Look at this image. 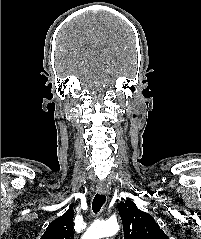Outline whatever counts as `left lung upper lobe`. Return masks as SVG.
I'll return each instance as SVG.
<instances>
[{"mask_svg": "<svg viewBox=\"0 0 201 239\" xmlns=\"http://www.w3.org/2000/svg\"><path fill=\"white\" fill-rule=\"evenodd\" d=\"M124 239H169L154 218L137 208L131 200L119 203Z\"/></svg>", "mask_w": 201, "mask_h": 239, "instance_id": "5c2ea615", "label": "left lung upper lobe"}]
</instances>
